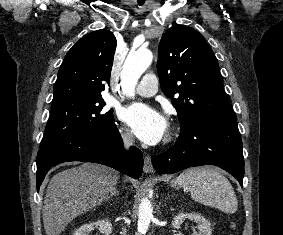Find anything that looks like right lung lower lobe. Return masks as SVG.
<instances>
[{
    "label": "right lung lower lobe",
    "mask_w": 283,
    "mask_h": 235,
    "mask_svg": "<svg viewBox=\"0 0 283 235\" xmlns=\"http://www.w3.org/2000/svg\"><path fill=\"white\" fill-rule=\"evenodd\" d=\"M82 161L100 163L138 179L143 155L136 147L125 152L116 124L94 134H81L60 141L37 154V191L49 169L58 163Z\"/></svg>",
    "instance_id": "1"
}]
</instances>
